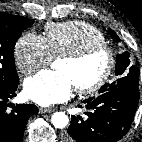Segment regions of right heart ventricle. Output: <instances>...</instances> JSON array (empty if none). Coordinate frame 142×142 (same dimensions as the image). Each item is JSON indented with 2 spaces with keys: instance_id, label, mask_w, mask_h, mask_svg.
I'll list each match as a JSON object with an SVG mask.
<instances>
[{
  "instance_id": "obj_1",
  "label": "right heart ventricle",
  "mask_w": 142,
  "mask_h": 142,
  "mask_svg": "<svg viewBox=\"0 0 142 142\" xmlns=\"http://www.w3.org/2000/svg\"><path fill=\"white\" fill-rule=\"evenodd\" d=\"M45 32V40L53 58L105 43L103 33L83 21L49 23L45 26Z\"/></svg>"
}]
</instances>
